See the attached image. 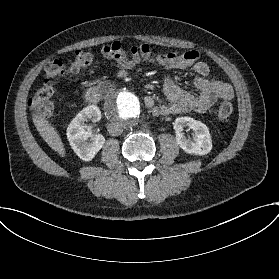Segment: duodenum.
I'll use <instances>...</instances> for the list:
<instances>
[{
  "label": "duodenum",
  "instance_id": "obj_1",
  "mask_svg": "<svg viewBox=\"0 0 279 279\" xmlns=\"http://www.w3.org/2000/svg\"><path fill=\"white\" fill-rule=\"evenodd\" d=\"M115 88L112 81H103L100 84L90 87L85 94V99L89 104H96L101 97L110 94Z\"/></svg>",
  "mask_w": 279,
  "mask_h": 279
}]
</instances>
